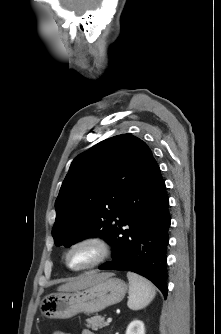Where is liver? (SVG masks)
<instances>
[{
    "mask_svg": "<svg viewBox=\"0 0 221 334\" xmlns=\"http://www.w3.org/2000/svg\"><path fill=\"white\" fill-rule=\"evenodd\" d=\"M107 275H110V273H97L96 271H90L81 275L72 282L59 286L58 291L72 292L82 290L97 283Z\"/></svg>",
    "mask_w": 221,
    "mask_h": 334,
    "instance_id": "6515ba94",
    "label": "liver"
}]
</instances>
